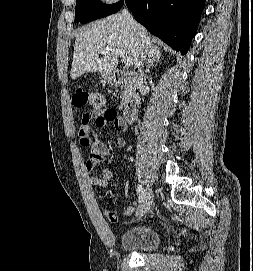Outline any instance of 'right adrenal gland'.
<instances>
[{
	"mask_svg": "<svg viewBox=\"0 0 253 271\" xmlns=\"http://www.w3.org/2000/svg\"><path fill=\"white\" fill-rule=\"evenodd\" d=\"M159 62H161V55L160 54H156L154 57L149 58L148 62H147L146 72L149 73L150 68Z\"/></svg>",
	"mask_w": 253,
	"mask_h": 271,
	"instance_id": "obj_1",
	"label": "right adrenal gland"
}]
</instances>
